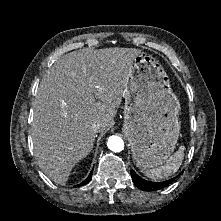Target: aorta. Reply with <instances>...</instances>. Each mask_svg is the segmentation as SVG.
Segmentation results:
<instances>
[{"label": "aorta", "mask_w": 221, "mask_h": 221, "mask_svg": "<svg viewBox=\"0 0 221 221\" xmlns=\"http://www.w3.org/2000/svg\"><path fill=\"white\" fill-rule=\"evenodd\" d=\"M107 146L113 152H120L124 149V142L119 136H110Z\"/></svg>", "instance_id": "aorta-1"}]
</instances>
